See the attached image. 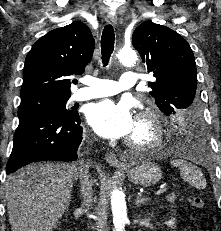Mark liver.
Returning <instances> with one entry per match:
<instances>
[{
    "label": "liver",
    "instance_id": "obj_1",
    "mask_svg": "<svg viewBox=\"0 0 221 231\" xmlns=\"http://www.w3.org/2000/svg\"><path fill=\"white\" fill-rule=\"evenodd\" d=\"M73 164L35 163L8 176L5 197L12 231H52L67 211L78 177Z\"/></svg>",
    "mask_w": 221,
    "mask_h": 231
}]
</instances>
